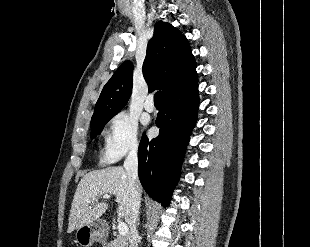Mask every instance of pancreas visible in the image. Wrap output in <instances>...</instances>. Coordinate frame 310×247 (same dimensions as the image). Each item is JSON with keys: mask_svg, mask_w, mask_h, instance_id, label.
Instances as JSON below:
<instances>
[{"mask_svg": "<svg viewBox=\"0 0 310 247\" xmlns=\"http://www.w3.org/2000/svg\"><path fill=\"white\" fill-rule=\"evenodd\" d=\"M127 238L117 236L114 240L110 241L105 247H128Z\"/></svg>", "mask_w": 310, "mask_h": 247, "instance_id": "1", "label": "pancreas"}]
</instances>
